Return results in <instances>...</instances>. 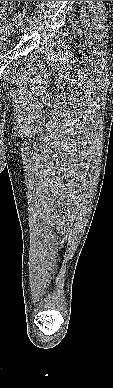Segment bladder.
Returning <instances> with one entry per match:
<instances>
[{
	"instance_id": "bladder-1",
	"label": "bladder",
	"mask_w": 113,
	"mask_h": 388,
	"mask_svg": "<svg viewBox=\"0 0 113 388\" xmlns=\"http://www.w3.org/2000/svg\"><path fill=\"white\" fill-rule=\"evenodd\" d=\"M11 29L12 25L9 22H0V55H3L8 50L7 45L4 43V39L7 37Z\"/></svg>"
}]
</instances>
